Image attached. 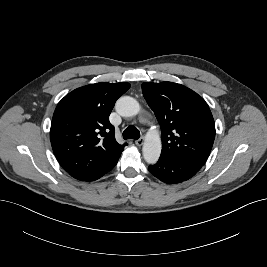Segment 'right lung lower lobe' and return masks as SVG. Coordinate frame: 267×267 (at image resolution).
Returning <instances> with one entry per match:
<instances>
[{
    "label": "right lung lower lobe",
    "instance_id": "98d812e1",
    "mask_svg": "<svg viewBox=\"0 0 267 267\" xmlns=\"http://www.w3.org/2000/svg\"><path fill=\"white\" fill-rule=\"evenodd\" d=\"M118 159H119V158H118ZM118 159H117V161H118ZM117 161L114 162L111 166H109V167L106 169V171H104L103 173H100V174H97V175H94V176H89V175L85 176V175H83V174L78 175V174H71V173H69V174H70L72 177H74V178H76V179H78V180H82V181H93V180H97V179H99L100 177H102L104 174H106L107 172H109L110 170H112L113 167L116 165Z\"/></svg>",
    "mask_w": 267,
    "mask_h": 267
}]
</instances>
